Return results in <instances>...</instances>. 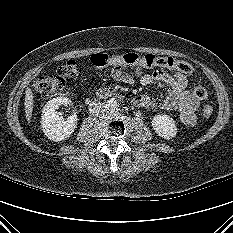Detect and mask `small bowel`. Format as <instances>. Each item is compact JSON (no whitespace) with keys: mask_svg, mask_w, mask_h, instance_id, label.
<instances>
[{"mask_svg":"<svg viewBox=\"0 0 233 233\" xmlns=\"http://www.w3.org/2000/svg\"><path fill=\"white\" fill-rule=\"evenodd\" d=\"M111 76L114 80L132 84L133 75L124 70V65L112 64ZM143 66H136L134 74L138 77L142 86L151 85L154 82H164L168 85V90L162 100L149 97L146 94H140L133 100L135 106L146 109H161L165 111H176L180 120L187 126H193L196 123V110L199 106L200 99H197L193 92L187 90V76L175 71L170 74L162 69L152 73H144Z\"/></svg>","mask_w":233,"mask_h":233,"instance_id":"small-bowel-1","label":"small bowel"}]
</instances>
